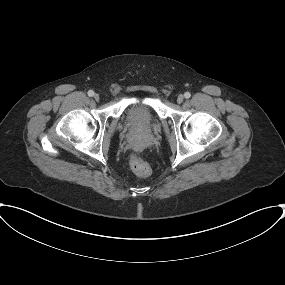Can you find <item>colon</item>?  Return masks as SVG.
I'll use <instances>...</instances> for the list:
<instances>
[{
    "label": "colon",
    "instance_id": "1",
    "mask_svg": "<svg viewBox=\"0 0 285 285\" xmlns=\"http://www.w3.org/2000/svg\"><path fill=\"white\" fill-rule=\"evenodd\" d=\"M129 166L131 170L140 177H147L150 175L151 170L148 163L136 155L131 156Z\"/></svg>",
    "mask_w": 285,
    "mask_h": 285
}]
</instances>
